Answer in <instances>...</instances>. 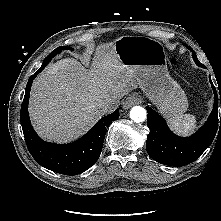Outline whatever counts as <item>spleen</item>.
<instances>
[{
	"label": "spleen",
	"mask_w": 221,
	"mask_h": 221,
	"mask_svg": "<svg viewBox=\"0 0 221 221\" xmlns=\"http://www.w3.org/2000/svg\"><path fill=\"white\" fill-rule=\"evenodd\" d=\"M196 117L190 114L174 116L169 120L171 129L180 135H190L196 128Z\"/></svg>",
	"instance_id": "1"
}]
</instances>
